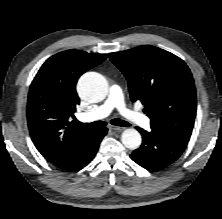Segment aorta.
<instances>
[{
    "mask_svg": "<svg viewBox=\"0 0 222 219\" xmlns=\"http://www.w3.org/2000/svg\"><path fill=\"white\" fill-rule=\"evenodd\" d=\"M77 90L82 99L96 103L107 96L108 83L101 74L87 72L79 79ZM121 141L126 148L134 150L141 145L142 138L136 129L130 128L123 131Z\"/></svg>",
    "mask_w": 222,
    "mask_h": 219,
    "instance_id": "762f6f07",
    "label": "aorta"
}]
</instances>
